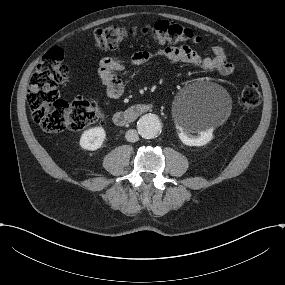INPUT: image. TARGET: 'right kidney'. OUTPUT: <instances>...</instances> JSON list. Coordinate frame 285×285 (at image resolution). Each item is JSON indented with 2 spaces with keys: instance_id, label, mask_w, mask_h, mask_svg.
<instances>
[{
  "instance_id": "1",
  "label": "right kidney",
  "mask_w": 285,
  "mask_h": 285,
  "mask_svg": "<svg viewBox=\"0 0 285 285\" xmlns=\"http://www.w3.org/2000/svg\"><path fill=\"white\" fill-rule=\"evenodd\" d=\"M106 139V131L102 126L86 129L80 136L79 145L87 151L101 149Z\"/></svg>"
}]
</instances>
